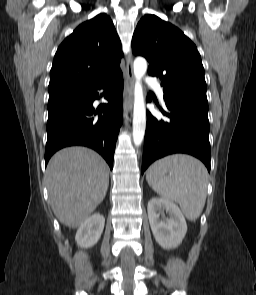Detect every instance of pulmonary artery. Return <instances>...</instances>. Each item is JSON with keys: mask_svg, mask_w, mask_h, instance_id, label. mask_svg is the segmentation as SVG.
<instances>
[{"mask_svg": "<svg viewBox=\"0 0 256 295\" xmlns=\"http://www.w3.org/2000/svg\"><path fill=\"white\" fill-rule=\"evenodd\" d=\"M146 83L157 91L159 98L163 101L164 91L159 82L155 78L148 77Z\"/></svg>", "mask_w": 256, "mask_h": 295, "instance_id": "obj_1", "label": "pulmonary artery"}]
</instances>
